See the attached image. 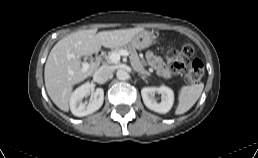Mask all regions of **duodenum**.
<instances>
[{
	"mask_svg": "<svg viewBox=\"0 0 258 158\" xmlns=\"http://www.w3.org/2000/svg\"><path fill=\"white\" fill-rule=\"evenodd\" d=\"M103 51L102 49L97 50L96 52V59L99 60V57L102 55Z\"/></svg>",
	"mask_w": 258,
	"mask_h": 158,
	"instance_id": "duodenum-1",
	"label": "duodenum"
}]
</instances>
